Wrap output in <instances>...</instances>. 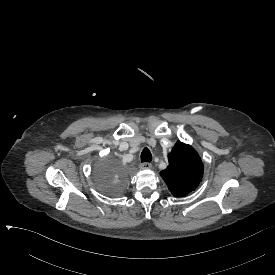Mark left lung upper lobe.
Masks as SVG:
<instances>
[{
	"mask_svg": "<svg viewBox=\"0 0 275 275\" xmlns=\"http://www.w3.org/2000/svg\"><path fill=\"white\" fill-rule=\"evenodd\" d=\"M168 160L169 166L160 175L172 195L182 197L195 190L202 179L203 164L194 148L178 141Z\"/></svg>",
	"mask_w": 275,
	"mask_h": 275,
	"instance_id": "left-lung-upper-lobe-1",
	"label": "left lung upper lobe"
}]
</instances>
